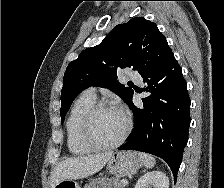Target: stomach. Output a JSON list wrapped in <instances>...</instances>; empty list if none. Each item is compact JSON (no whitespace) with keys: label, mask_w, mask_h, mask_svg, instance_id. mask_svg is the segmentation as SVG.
<instances>
[{"label":"stomach","mask_w":224,"mask_h":188,"mask_svg":"<svg viewBox=\"0 0 224 188\" xmlns=\"http://www.w3.org/2000/svg\"><path fill=\"white\" fill-rule=\"evenodd\" d=\"M142 166L139 154L132 151L115 152L107 162V170L116 177L135 174ZM54 188H80L74 180H62Z\"/></svg>","instance_id":"1"}]
</instances>
